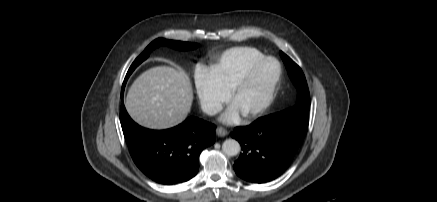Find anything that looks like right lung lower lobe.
Segmentation results:
<instances>
[{"label": "right lung lower lobe", "instance_id": "1", "mask_svg": "<svg viewBox=\"0 0 437 202\" xmlns=\"http://www.w3.org/2000/svg\"><path fill=\"white\" fill-rule=\"evenodd\" d=\"M120 122L137 167L153 181L164 185L193 178L199 170L201 152L216 139V126L196 117H189L166 130L143 128L130 118L124 104Z\"/></svg>", "mask_w": 437, "mask_h": 202}]
</instances>
